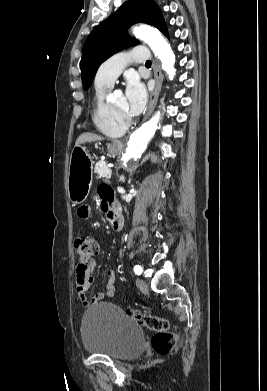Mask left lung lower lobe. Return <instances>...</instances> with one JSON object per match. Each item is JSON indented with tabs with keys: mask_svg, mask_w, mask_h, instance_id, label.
Segmentation results:
<instances>
[{
	"mask_svg": "<svg viewBox=\"0 0 267 391\" xmlns=\"http://www.w3.org/2000/svg\"><path fill=\"white\" fill-rule=\"evenodd\" d=\"M164 34L168 37V31H166Z\"/></svg>",
	"mask_w": 267,
	"mask_h": 391,
	"instance_id": "left-lung-lower-lobe-1",
	"label": "left lung lower lobe"
}]
</instances>
